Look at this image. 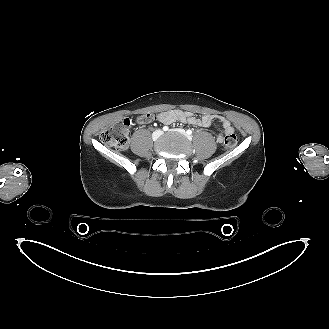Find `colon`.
Masks as SVG:
<instances>
[{"label": "colon", "instance_id": "5ec220e1", "mask_svg": "<svg viewBox=\"0 0 329 329\" xmlns=\"http://www.w3.org/2000/svg\"><path fill=\"white\" fill-rule=\"evenodd\" d=\"M156 116L154 114H144L136 119L137 124H146L152 122ZM132 121L129 118L118 121L113 126L104 129L100 133L101 141L107 145L118 149H126L128 145V132ZM238 139L235 134L224 138L223 146L226 149H232L237 145Z\"/></svg>", "mask_w": 329, "mask_h": 329}]
</instances>
